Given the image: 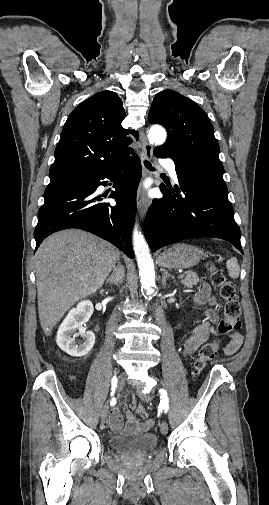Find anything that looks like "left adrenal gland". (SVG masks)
Instances as JSON below:
<instances>
[{"mask_svg": "<svg viewBox=\"0 0 269 505\" xmlns=\"http://www.w3.org/2000/svg\"><path fill=\"white\" fill-rule=\"evenodd\" d=\"M172 278L174 279V276H172L171 274H169V272L167 270H163V276H162V285L163 287H166V281L168 278ZM174 283H175V280H174Z\"/></svg>", "mask_w": 269, "mask_h": 505, "instance_id": "left-adrenal-gland-1", "label": "left adrenal gland"}]
</instances>
